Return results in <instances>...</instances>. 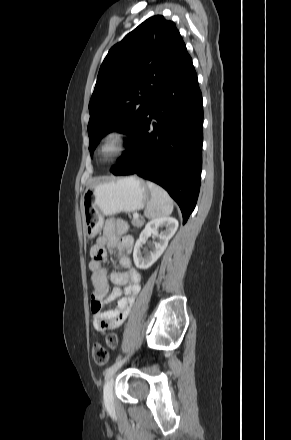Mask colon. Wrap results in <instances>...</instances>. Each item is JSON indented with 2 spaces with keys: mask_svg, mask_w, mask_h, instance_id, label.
<instances>
[{
  "mask_svg": "<svg viewBox=\"0 0 291 440\" xmlns=\"http://www.w3.org/2000/svg\"><path fill=\"white\" fill-rule=\"evenodd\" d=\"M103 323L108 324V321L103 320ZM107 341H108V344L112 348H116L118 345V339L113 334H111L108 337ZM92 353H93V358H94V361L96 362V364L103 366L108 363V359H109L108 352H107L106 348L101 343H98V342L94 343Z\"/></svg>",
  "mask_w": 291,
  "mask_h": 440,
  "instance_id": "obj_1",
  "label": "colon"
}]
</instances>
